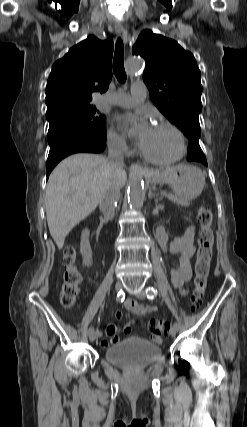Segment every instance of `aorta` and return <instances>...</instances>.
<instances>
[{
	"instance_id": "762f6f07",
	"label": "aorta",
	"mask_w": 247,
	"mask_h": 427,
	"mask_svg": "<svg viewBox=\"0 0 247 427\" xmlns=\"http://www.w3.org/2000/svg\"><path fill=\"white\" fill-rule=\"evenodd\" d=\"M143 60L138 57H131L126 62L127 73L130 76L136 75L143 68ZM145 198L144 182L138 172H134L129 181L127 200L131 208H139Z\"/></svg>"
}]
</instances>
